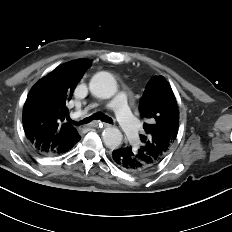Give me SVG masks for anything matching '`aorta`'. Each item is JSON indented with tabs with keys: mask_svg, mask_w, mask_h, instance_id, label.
Wrapping results in <instances>:
<instances>
[{
	"mask_svg": "<svg viewBox=\"0 0 232 232\" xmlns=\"http://www.w3.org/2000/svg\"><path fill=\"white\" fill-rule=\"evenodd\" d=\"M90 92L101 99H109L117 92L115 78L108 72L95 74L89 83ZM103 142L109 149H116L122 143L123 135L116 127H107L102 133Z\"/></svg>",
	"mask_w": 232,
	"mask_h": 232,
	"instance_id": "obj_1",
	"label": "aorta"
}]
</instances>
